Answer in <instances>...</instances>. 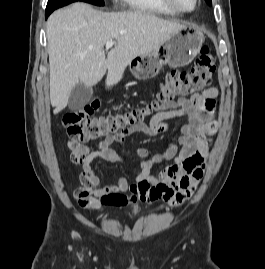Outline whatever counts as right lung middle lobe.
Segmentation results:
<instances>
[{"mask_svg": "<svg viewBox=\"0 0 265 269\" xmlns=\"http://www.w3.org/2000/svg\"><path fill=\"white\" fill-rule=\"evenodd\" d=\"M51 1H56V0H48V2H51ZM76 1L87 2V3L93 4V5H97V6H104L105 5L103 0H76Z\"/></svg>", "mask_w": 265, "mask_h": 269, "instance_id": "dd1d6c3e", "label": "right lung middle lobe"}]
</instances>
